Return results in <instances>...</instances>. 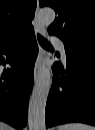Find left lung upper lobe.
Masks as SVG:
<instances>
[{
	"label": "left lung upper lobe",
	"instance_id": "left-lung-upper-lobe-1",
	"mask_svg": "<svg viewBox=\"0 0 95 130\" xmlns=\"http://www.w3.org/2000/svg\"><path fill=\"white\" fill-rule=\"evenodd\" d=\"M41 7H52L57 18L48 32L67 45L95 53V0H39Z\"/></svg>",
	"mask_w": 95,
	"mask_h": 130
}]
</instances>
